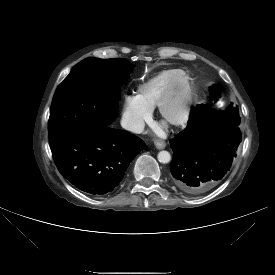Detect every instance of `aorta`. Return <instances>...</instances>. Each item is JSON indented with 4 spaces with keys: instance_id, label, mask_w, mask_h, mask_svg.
Masks as SVG:
<instances>
[{
    "instance_id": "762f6f07",
    "label": "aorta",
    "mask_w": 275,
    "mask_h": 275,
    "mask_svg": "<svg viewBox=\"0 0 275 275\" xmlns=\"http://www.w3.org/2000/svg\"><path fill=\"white\" fill-rule=\"evenodd\" d=\"M157 158L158 161L163 164L169 163L171 161V155L168 151H160Z\"/></svg>"
}]
</instances>
